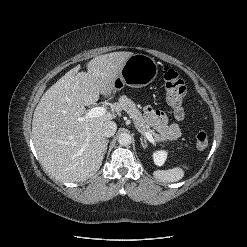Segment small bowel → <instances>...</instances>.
Listing matches in <instances>:
<instances>
[{
    "mask_svg": "<svg viewBox=\"0 0 247 247\" xmlns=\"http://www.w3.org/2000/svg\"><path fill=\"white\" fill-rule=\"evenodd\" d=\"M144 117L157 132L167 139H175L178 137L180 130L177 124L170 123L168 116L150 106L145 107Z\"/></svg>",
    "mask_w": 247,
    "mask_h": 247,
    "instance_id": "small-bowel-1",
    "label": "small bowel"
}]
</instances>
